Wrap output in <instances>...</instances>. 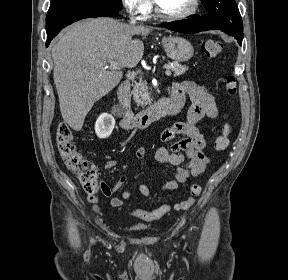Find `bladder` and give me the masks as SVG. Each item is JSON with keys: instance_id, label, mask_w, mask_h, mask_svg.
<instances>
[{"instance_id": "31cf9c89", "label": "bladder", "mask_w": 288, "mask_h": 280, "mask_svg": "<svg viewBox=\"0 0 288 280\" xmlns=\"http://www.w3.org/2000/svg\"><path fill=\"white\" fill-rule=\"evenodd\" d=\"M135 228L139 230H143V229H146L147 227L144 225H136Z\"/></svg>"}]
</instances>
